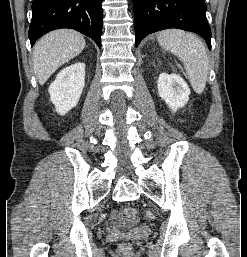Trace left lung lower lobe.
Masks as SVG:
<instances>
[{"mask_svg":"<svg viewBox=\"0 0 247 257\" xmlns=\"http://www.w3.org/2000/svg\"><path fill=\"white\" fill-rule=\"evenodd\" d=\"M135 46L150 33L178 28L200 35L211 50L204 0H133Z\"/></svg>","mask_w":247,"mask_h":257,"instance_id":"left-lung-lower-lobe-1","label":"left lung lower lobe"}]
</instances>
